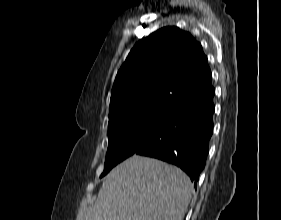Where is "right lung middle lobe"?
<instances>
[{"label":"right lung middle lobe","mask_w":281,"mask_h":220,"mask_svg":"<svg viewBox=\"0 0 281 220\" xmlns=\"http://www.w3.org/2000/svg\"><path fill=\"white\" fill-rule=\"evenodd\" d=\"M168 115L158 112L127 115L109 123V145L104 171L100 177L133 155L163 125Z\"/></svg>","instance_id":"right-lung-middle-lobe-1"}]
</instances>
